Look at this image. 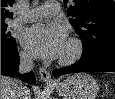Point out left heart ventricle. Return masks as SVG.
<instances>
[{
	"label": "left heart ventricle",
	"instance_id": "b2bd125f",
	"mask_svg": "<svg viewBox=\"0 0 115 99\" xmlns=\"http://www.w3.org/2000/svg\"><path fill=\"white\" fill-rule=\"evenodd\" d=\"M67 50H68V47H67V45H66L65 50H64V52H63V54H64L65 52H67Z\"/></svg>",
	"mask_w": 115,
	"mask_h": 99
}]
</instances>
